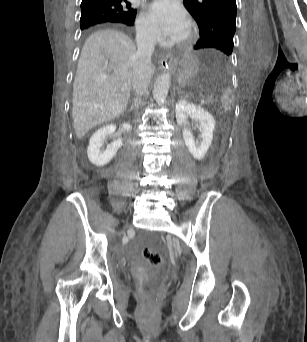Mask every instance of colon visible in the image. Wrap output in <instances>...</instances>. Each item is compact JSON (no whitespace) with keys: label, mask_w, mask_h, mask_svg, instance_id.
I'll list each match as a JSON object with an SVG mask.
<instances>
[{"label":"colon","mask_w":307,"mask_h":342,"mask_svg":"<svg viewBox=\"0 0 307 342\" xmlns=\"http://www.w3.org/2000/svg\"><path fill=\"white\" fill-rule=\"evenodd\" d=\"M144 258L152 264V268H165V261H162L161 255L151 250L148 246H145L142 250ZM147 288H157L158 282L157 281H147L146 283ZM142 299L144 302L145 307H154L155 305V294H143Z\"/></svg>","instance_id":"1"}]
</instances>
